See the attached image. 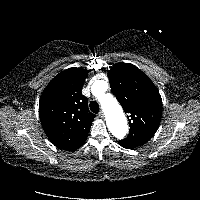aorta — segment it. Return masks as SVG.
Wrapping results in <instances>:
<instances>
[{"instance_id":"obj_1","label":"aorta","mask_w":200,"mask_h":200,"mask_svg":"<svg viewBox=\"0 0 200 200\" xmlns=\"http://www.w3.org/2000/svg\"><path fill=\"white\" fill-rule=\"evenodd\" d=\"M107 83L102 80L95 81L92 92L98 98L106 115V123L110 132L119 139H123L128 132V125L124 112L116 98L106 93Z\"/></svg>"}]
</instances>
